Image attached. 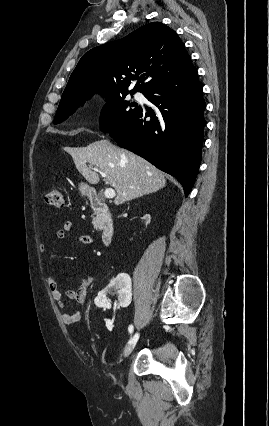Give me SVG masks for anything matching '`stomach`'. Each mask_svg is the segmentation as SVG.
Returning a JSON list of instances; mask_svg holds the SVG:
<instances>
[{"label": "stomach", "instance_id": "0dacf381", "mask_svg": "<svg viewBox=\"0 0 269 426\" xmlns=\"http://www.w3.org/2000/svg\"><path fill=\"white\" fill-rule=\"evenodd\" d=\"M79 190H80L82 195H86V196H89L93 191V189L85 183H81L79 185Z\"/></svg>", "mask_w": 269, "mask_h": 426}]
</instances>
